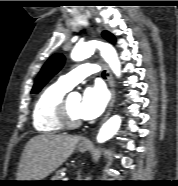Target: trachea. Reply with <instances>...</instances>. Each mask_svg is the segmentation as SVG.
<instances>
[{"label": "trachea", "mask_w": 178, "mask_h": 186, "mask_svg": "<svg viewBox=\"0 0 178 186\" xmlns=\"http://www.w3.org/2000/svg\"><path fill=\"white\" fill-rule=\"evenodd\" d=\"M102 75L105 77V71L102 73Z\"/></svg>", "instance_id": "1"}]
</instances>
